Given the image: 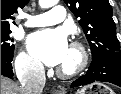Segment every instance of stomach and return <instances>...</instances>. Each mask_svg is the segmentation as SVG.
I'll return each instance as SVG.
<instances>
[{
  "label": "stomach",
  "instance_id": "obj_1",
  "mask_svg": "<svg viewBox=\"0 0 121 94\" xmlns=\"http://www.w3.org/2000/svg\"><path fill=\"white\" fill-rule=\"evenodd\" d=\"M77 94H115L111 88L102 83H94L82 88Z\"/></svg>",
  "mask_w": 121,
  "mask_h": 94
}]
</instances>
